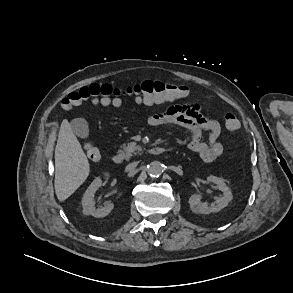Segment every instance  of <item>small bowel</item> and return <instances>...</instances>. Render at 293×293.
Masks as SVG:
<instances>
[{
  "instance_id": "c3829d8e",
  "label": "small bowel",
  "mask_w": 293,
  "mask_h": 293,
  "mask_svg": "<svg viewBox=\"0 0 293 293\" xmlns=\"http://www.w3.org/2000/svg\"><path fill=\"white\" fill-rule=\"evenodd\" d=\"M137 102L151 106L163 101L140 98ZM148 124L152 127L179 126L186 129L190 135L188 149L205 162L216 160L223 152V145L219 141L221 134L219 123L202 115L197 105H172L165 112L150 116ZM202 132L207 133L206 141L201 139Z\"/></svg>"
}]
</instances>
